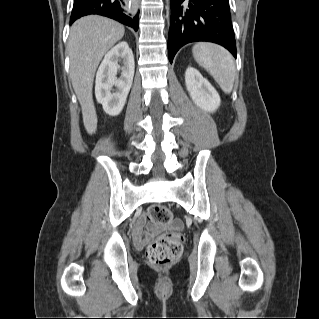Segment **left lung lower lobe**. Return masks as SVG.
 Masks as SVG:
<instances>
[{
    "label": "left lung lower lobe",
    "mask_w": 319,
    "mask_h": 319,
    "mask_svg": "<svg viewBox=\"0 0 319 319\" xmlns=\"http://www.w3.org/2000/svg\"><path fill=\"white\" fill-rule=\"evenodd\" d=\"M197 41L222 45L236 58L229 0H171L170 63L183 45Z\"/></svg>",
    "instance_id": "left-lung-lower-lobe-1"
}]
</instances>
